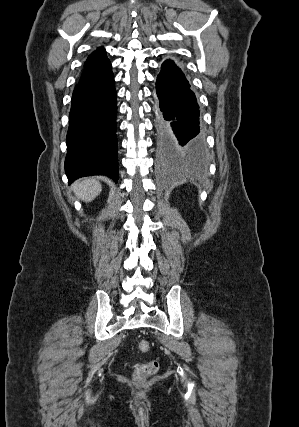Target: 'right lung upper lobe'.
Wrapping results in <instances>:
<instances>
[{
	"label": "right lung upper lobe",
	"mask_w": 299,
	"mask_h": 427,
	"mask_svg": "<svg viewBox=\"0 0 299 427\" xmlns=\"http://www.w3.org/2000/svg\"><path fill=\"white\" fill-rule=\"evenodd\" d=\"M110 71V61L106 56L105 50L101 47L87 58L80 82L100 78Z\"/></svg>",
	"instance_id": "cb5924a9"
}]
</instances>
